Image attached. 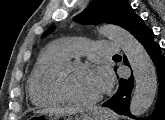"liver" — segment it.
<instances>
[{
    "mask_svg": "<svg viewBox=\"0 0 165 120\" xmlns=\"http://www.w3.org/2000/svg\"><path fill=\"white\" fill-rule=\"evenodd\" d=\"M80 110L81 109H79V108L65 107V108H53V109H50L49 111L55 112V113H60V114H74V113H77Z\"/></svg>",
    "mask_w": 165,
    "mask_h": 120,
    "instance_id": "liver-1",
    "label": "liver"
}]
</instances>
